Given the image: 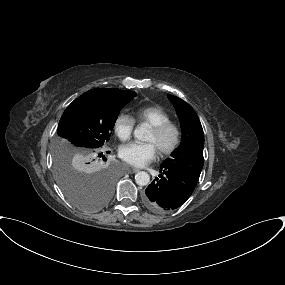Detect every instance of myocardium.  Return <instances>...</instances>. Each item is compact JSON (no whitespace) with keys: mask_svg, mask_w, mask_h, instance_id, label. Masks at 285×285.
<instances>
[{"mask_svg":"<svg viewBox=\"0 0 285 285\" xmlns=\"http://www.w3.org/2000/svg\"><path fill=\"white\" fill-rule=\"evenodd\" d=\"M151 130L156 136H162L168 131H172L174 134L173 141L166 147L160 148L159 153L162 156H169L174 153L181 144L182 130L180 126L172 121L164 122L155 126H152Z\"/></svg>","mask_w":285,"mask_h":285,"instance_id":"f54148a6","label":"myocardium"}]
</instances>
